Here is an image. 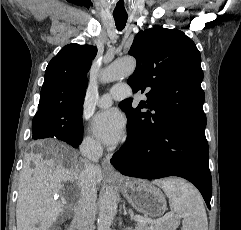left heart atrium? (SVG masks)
Masks as SVG:
<instances>
[{"mask_svg": "<svg viewBox=\"0 0 241 230\" xmlns=\"http://www.w3.org/2000/svg\"><path fill=\"white\" fill-rule=\"evenodd\" d=\"M92 132L103 144L115 145L124 136L125 120L115 108L103 110L95 115Z\"/></svg>", "mask_w": 241, "mask_h": 230, "instance_id": "1", "label": "left heart atrium"}]
</instances>
